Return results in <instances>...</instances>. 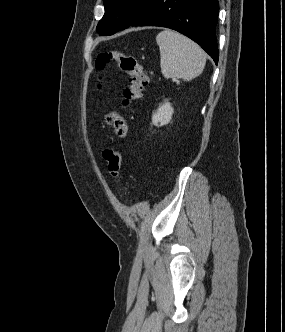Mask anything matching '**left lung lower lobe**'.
I'll return each mask as SVG.
<instances>
[{
	"instance_id": "left-lung-lower-lobe-1",
	"label": "left lung lower lobe",
	"mask_w": 285,
	"mask_h": 332,
	"mask_svg": "<svg viewBox=\"0 0 285 332\" xmlns=\"http://www.w3.org/2000/svg\"><path fill=\"white\" fill-rule=\"evenodd\" d=\"M218 10V0H154L130 26L174 29L197 42L217 64Z\"/></svg>"
}]
</instances>
